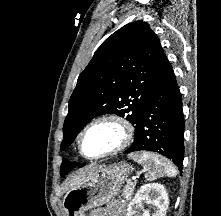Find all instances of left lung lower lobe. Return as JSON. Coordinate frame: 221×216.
Masks as SVG:
<instances>
[{"label": "left lung lower lobe", "instance_id": "left-lung-lower-lobe-1", "mask_svg": "<svg viewBox=\"0 0 221 216\" xmlns=\"http://www.w3.org/2000/svg\"><path fill=\"white\" fill-rule=\"evenodd\" d=\"M184 128L181 94L173 69L164 55L135 128L134 142L124 153L141 150L157 152L172 160L181 171Z\"/></svg>", "mask_w": 221, "mask_h": 216}]
</instances>
